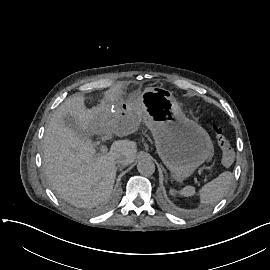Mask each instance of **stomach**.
<instances>
[{
	"instance_id": "1",
	"label": "stomach",
	"mask_w": 270,
	"mask_h": 270,
	"mask_svg": "<svg viewBox=\"0 0 270 270\" xmlns=\"http://www.w3.org/2000/svg\"><path fill=\"white\" fill-rule=\"evenodd\" d=\"M142 114L152 132L156 151L173 179L182 184L196 169L209 162L214 145L208 132L187 118L171 93L161 87H147L139 99L121 103L117 114Z\"/></svg>"
}]
</instances>
